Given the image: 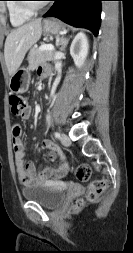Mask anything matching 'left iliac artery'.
Masks as SVG:
<instances>
[{"label": "left iliac artery", "mask_w": 133, "mask_h": 253, "mask_svg": "<svg viewBox=\"0 0 133 253\" xmlns=\"http://www.w3.org/2000/svg\"><path fill=\"white\" fill-rule=\"evenodd\" d=\"M54 135H55V137H56L57 139L60 138V133H59V132H55Z\"/></svg>", "instance_id": "obj_1"}]
</instances>
